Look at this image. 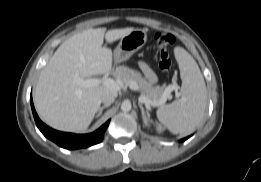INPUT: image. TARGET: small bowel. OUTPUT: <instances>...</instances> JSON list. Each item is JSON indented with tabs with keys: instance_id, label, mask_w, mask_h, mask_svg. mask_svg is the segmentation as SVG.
I'll return each mask as SVG.
<instances>
[{
	"instance_id": "small-bowel-1",
	"label": "small bowel",
	"mask_w": 261,
	"mask_h": 182,
	"mask_svg": "<svg viewBox=\"0 0 261 182\" xmlns=\"http://www.w3.org/2000/svg\"><path fill=\"white\" fill-rule=\"evenodd\" d=\"M140 69L150 83L156 82V75L147 63L141 62Z\"/></svg>"
}]
</instances>
